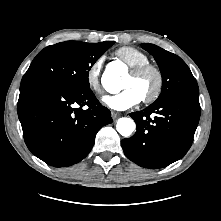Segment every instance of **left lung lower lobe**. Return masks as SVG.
<instances>
[{
	"instance_id": "0a47b994",
	"label": "left lung lower lobe",
	"mask_w": 221,
	"mask_h": 221,
	"mask_svg": "<svg viewBox=\"0 0 221 221\" xmlns=\"http://www.w3.org/2000/svg\"><path fill=\"white\" fill-rule=\"evenodd\" d=\"M200 112L199 95L178 94L130 113L137 132L122 140L125 155L139 166L152 169L179 160L191 147Z\"/></svg>"
}]
</instances>
